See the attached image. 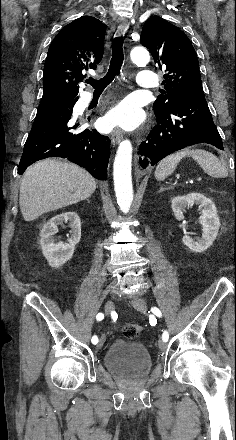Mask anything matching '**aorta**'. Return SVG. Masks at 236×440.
Here are the masks:
<instances>
[{
  "label": "aorta",
  "mask_w": 236,
  "mask_h": 440,
  "mask_svg": "<svg viewBox=\"0 0 236 440\" xmlns=\"http://www.w3.org/2000/svg\"><path fill=\"white\" fill-rule=\"evenodd\" d=\"M130 57L136 65H146L150 60L149 52L141 46L134 47L130 52ZM131 166L132 145L129 140H124L118 147L113 166L117 203L124 213L129 212L133 201Z\"/></svg>",
  "instance_id": "aorta-1"
}]
</instances>
